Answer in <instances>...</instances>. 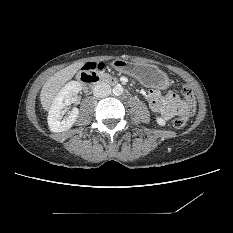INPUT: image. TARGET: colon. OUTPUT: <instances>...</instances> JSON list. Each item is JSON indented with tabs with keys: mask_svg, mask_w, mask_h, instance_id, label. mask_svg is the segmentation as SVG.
Here are the masks:
<instances>
[{
	"mask_svg": "<svg viewBox=\"0 0 233 233\" xmlns=\"http://www.w3.org/2000/svg\"><path fill=\"white\" fill-rule=\"evenodd\" d=\"M105 67V64L100 62V63H86L82 67L83 72L87 73H95L98 70H102ZM181 94L183 99L186 101L188 104V110L185 114H182L181 116L177 117L173 121V125L175 128H183L188 120L192 117L193 111H194V105H195V96L191 88L187 85H183L181 88Z\"/></svg>",
	"mask_w": 233,
	"mask_h": 233,
	"instance_id": "5ec220e1",
	"label": "colon"
}]
</instances>
